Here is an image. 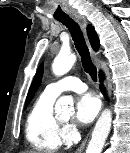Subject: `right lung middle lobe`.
I'll return each instance as SVG.
<instances>
[{
  "label": "right lung middle lobe",
  "mask_w": 130,
  "mask_h": 153,
  "mask_svg": "<svg viewBox=\"0 0 130 153\" xmlns=\"http://www.w3.org/2000/svg\"><path fill=\"white\" fill-rule=\"evenodd\" d=\"M29 104V102H26V106Z\"/></svg>",
  "instance_id": "1"
}]
</instances>
